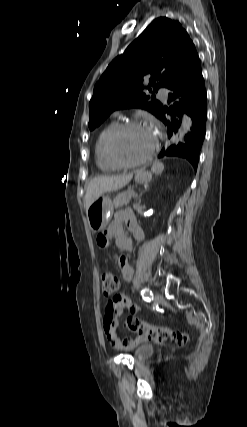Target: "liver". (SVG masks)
I'll use <instances>...</instances> for the list:
<instances>
[{
	"instance_id": "liver-1",
	"label": "liver",
	"mask_w": 247,
	"mask_h": 427,
	"mask_svg": "<svg viewBox=\"0 0 247 427\" xmlns=\"http://www.w3.org/2000/svg\"><path fill=\"white\" fill-rule=\"evenodd\" d=\"M133 177V174L122 176H100L93 178L86 189L85 208L90 205L103 193L116 191L128 184Z\"/></svg>"
}]
</instances>
